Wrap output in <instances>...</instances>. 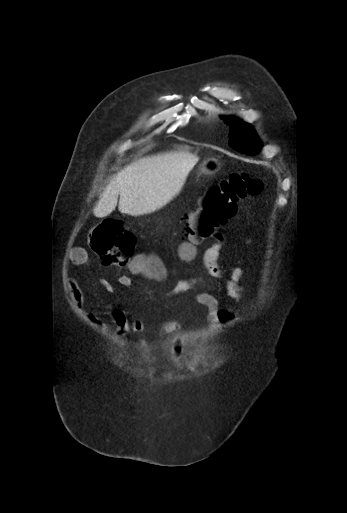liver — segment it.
Returning <instances> with one entry per match:
<instances>
[{
	"mask_svg": "<svg viewBox=\"0 0 347 513\" xmlns=\"http://www.w3.org/2000/svg\"><path fill=\"white\" fill-rule=\"evenodd\" d=\"M199 157L186 151L146 156L120 170L110 181L93 209L98 218L118 209L139 216L167 204L182 188Z\"/></svg>",
	"mask_w": 347,
	"mask_h": 513,
	"instance_id": "1",
	"label": "liver"
}]
</instances>
